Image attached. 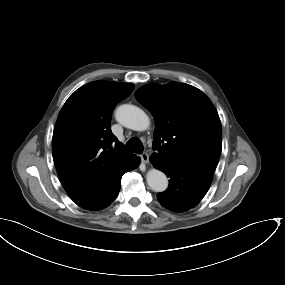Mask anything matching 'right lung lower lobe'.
I'll list each match as a JSON object with an SVG mask.
<instances>
[{
  "label": "right lung lower lobe",
  "mask_w": 285,
  "mask_h": 285,
  "mask_svg": "<svg viewBox=\"0 0 285 285\" xmlns=\"http://www.w3.org/2000/svg\"><path fill=\"white\" fill-rule=\"evenodd\" d=\"M140 163V158H138L137 156L131 161V163L129 164V166L115 179V181L110 184L107 189L104 191V193L94 202L83 206L82 208L87 209V210H92V211H96V210H101L107 206H109L117 197L119 190H120V186H121V178L122 175L130 170H133L134 168H136Z\"/></svg>",
  "instance_id": "right-lung-lower-lobe-1"
}]
</instances>
